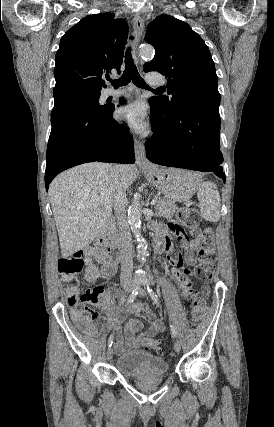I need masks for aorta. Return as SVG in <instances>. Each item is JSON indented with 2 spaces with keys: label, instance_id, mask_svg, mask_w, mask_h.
I'll return each mask as SVG.
<instances>
[{
  "label": "aorta",
  "instance_id": "762f6f07",
  "mask_svg": "<svg viewBox=\"0 0 274 427\" xmlns=\"http://www.w3.org/2000/svg\"><path fill=\"white\" fill-rule=\"evenodd\" d=\"M139 54L141 57L152 58L154 56V49L151 46H144L140 49ZM128 223L131 230L138 241V250L140 258L144 261V255L147 249V243L141 235V208L138 200H134L128 208Z\"/></svg>",
  "mask_w": 274,
  "mask_h": 427
}]
</instances>
